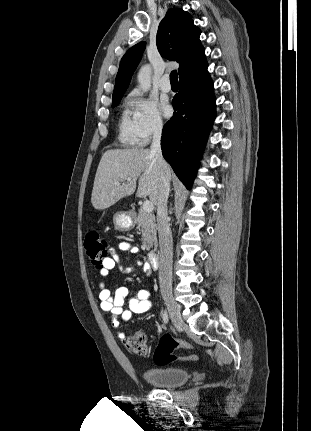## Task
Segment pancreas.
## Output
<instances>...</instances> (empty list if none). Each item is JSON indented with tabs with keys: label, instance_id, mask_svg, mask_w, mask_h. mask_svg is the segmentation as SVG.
I'll return each mask as SVG.
<instances>
[{
	"label": "pancreas",
	"instance_id": "1",
	"mask_svg": "<svg viewBox=\"0 0 311 431\" xmlns=\"http://www.w3.org/2000/svg\"><path fill=\"white\" fill-rule=\"evenodd\" d=\"M135 221L137 225L141 227L140 231L142 233V247H144V249H150V247L156 245L157 225L155 223L154 214H147V212H144L143 208H139L135 217Z\"/></svg>",
	"mask_w": 311,
	"mask_h": 431
}]
</instances>
